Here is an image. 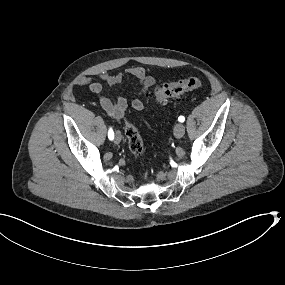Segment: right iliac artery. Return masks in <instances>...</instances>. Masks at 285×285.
<instances>
[{"label":"right iliac artery","instance_id":"82829eb1","mask_svg":"<svg viewBox=\"0 0 285 285\" xmlns=\"http://www.w3.org/2000/svg\"><path fill=\"white\" fill-rule=\"evenodd\" d=\"M108 138L110 140L114 139V132H113L112 128H110L109 131H108Z\"/></svg>","mask_w":285,"mask_h":285}]
</instances>
